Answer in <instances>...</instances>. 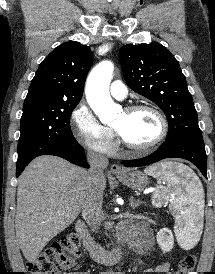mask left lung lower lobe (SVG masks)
Here are the masks:
<instances>
[{
	"label": "left lung lower lobe",
	"instance_id": "left-lung-lower-lobe-1",
	"mask_svg": "<svg viewBox=\"0 0 215 274\" xmlns=\"http://www.w3.org/2000/svg\"><path fill=\"white\" fill-rule=\"evenodd\" d=\"M165 158H182L192 162L207 178V156L204 143L190 141H166L152 154L135 160H124L126 167L145 166Z\"/></svg>",
	"mask_w": 215,
	"mask_h": 274
}]
</instances>
